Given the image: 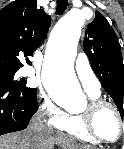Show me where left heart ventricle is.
Listing matches in <instances>:
<instances>
[{"instance_id": "b2bd125f", "label": "left heart ventricle", "mask_w": 124, "mask_h": 149, "mask_svg": "<svg viewBox=\"0 0 124 149\" xmlns=\"http://www.w3.org/2000/svg\"><path fill=\"white\" fill-rule=\"evenodd\" d=\"M95 129L100 136L107 140H114L118 137L119 124L111 108L104 107L97 112L95 116Z\"/></svg>"}]
</instances>
